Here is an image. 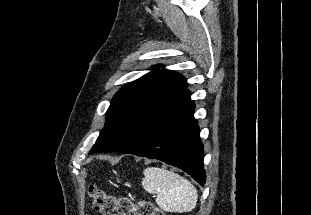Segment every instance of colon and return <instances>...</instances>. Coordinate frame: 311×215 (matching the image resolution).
I'll use <instances>...</instances> for the list:
<instances>
[{"label":"colon","mask_w":311,"mask_h":215,"mask_svg":"<svg viewBox=\"0 0 311 215\" xmlns=\"http://www.w3.org/2000/svg\"><path fill=\"white\" fill-rule=\"evenodd\" d=\"M88 192L93 209L102 215H164L149 201H134L107 193L95 185H90Z\"/></svg>","instance_id":"1"}]
</instances>
